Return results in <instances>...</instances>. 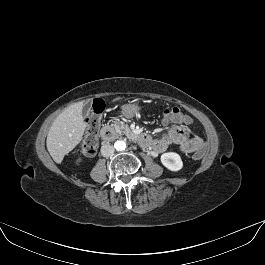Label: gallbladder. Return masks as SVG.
Wrapping results in <instances>:
<instances>
[{
    "instance_id": "bac80fb5",
    "label": "gallbladder",
    "mask_w": 265,
    "mask_h": 265,
    "mask_svg": "<svg viewBox=\"0 0 265 265\" xmlns=\"http://www.w3.org/2000/svg\"><path fill=\"white\" fill-rule=\"evenodd\" d=\"M91 111L90 104H85L82 109V115L83 117H88Z\"/></svg>"
}]
</instances>
